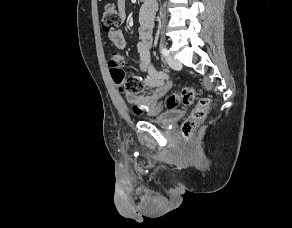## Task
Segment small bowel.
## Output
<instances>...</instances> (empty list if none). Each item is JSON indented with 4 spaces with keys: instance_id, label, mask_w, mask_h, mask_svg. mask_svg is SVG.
<instances>
[{
    "instance_id": "c3829d8e",
    "label": "small bowel",
    "mask_w": 292,
    "mask_h": 228,
    "mask_svg": "<svg viewBox=\"0 0 292 228\" xmlns=\"http://www.w3.org/2000/svg\"><path fill=\"white\" fill-rule=\"evenodd\" d=\"M117 9L122 17L126 15V0H117ZM155 5L144 4L139 11V27L137 51L139 55L138 70L146 74L142 89L136 95H129V101L139 106L140 112L156 114L160 111L158 102L168 93L171 88L169 75L167 72L158 70L152 62L151 47L153 43V28L155 17ZM109 39L112 44L119 50L126 47V40L120 30L110 31ZM123 58V57H122Z\"/></svg>"
}]
</instances>
